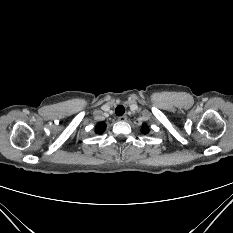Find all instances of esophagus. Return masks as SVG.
I'll return each mask as SVG.
<instances>
[{
    "mask_svg": "<svg viewBox=\"0 0 233 233\" xmlns=\"http://www.w3.org/2000/svg\"><path fill=\"white\" fill-rule=\"evenodd\" d=\"M118 120L121 121V122H124V121L127 120V116L126 115L119 116Z\"/></svg>",
    "mask_w": 233,
    "mask_h": 233,
    "instance_id": "obj_1",
    "label": "esophagus"
}]
</instances>
